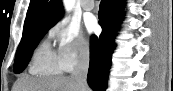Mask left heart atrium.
<instances>
[{
    "label": "left heart atrium",
    "mask_w": 173,
    "mask_h": 91,
    "mask_svg": "<svg viewBox=\"0 0 173 91\" xmlns=\"http://www.w3.org/2000/svg\"><path fill=\"white\" fill-rule=\"evenodd\" d=\"M85 25L89 32L95 31L97 29V21H96L95 17H93V16L87 17L86 21H85Z\"/></svg>",
    "instance_id": "1"
}]
</instances>
